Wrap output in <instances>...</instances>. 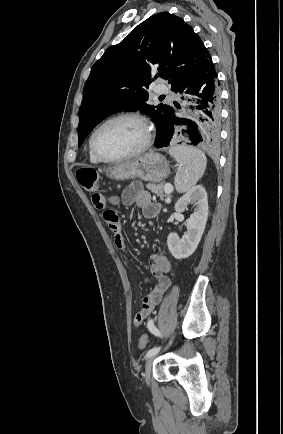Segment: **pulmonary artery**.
I'll list each match as a JSON object with an SVG mask.
<instances>
[{"mask_svg":"<svg viewBox=\"0 0 283 434\" xmlns=\"http://www.w3.org/2000/svg\"><path fill=\"white\" fill-rule=\"evenodd\" d=\"M155 92L158 95L171 93L169 88L165 84H159L155 88Z\"/></svg>","mask_w":283,"mask_h":434,"instance_id":"pulmonary-artery-1","label":"pulmonary artery"}]
</instances>
